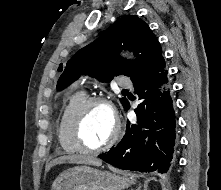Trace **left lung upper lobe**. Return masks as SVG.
<instances>
[{"label":"left lung upper lobe","mask_w":221,"mask_h":190,"mask_svg":"<svg viewBox=\"0 0 221 190\" xmlns=\"http://www.w3.org/2000/svg\"><path fill=\"white\" fill-rule=\"evenodd\" d=\"M133 51L136 62L119 56L120 50ZM162 57V49L149 26L140 18L127 15L107 28L93 43L80 49L68 62L57 88L63 89L79 78L89 75L101 82L126 75L131 81L145 75ZM125 108L126 98H120Z\"/></svg>","instance_id":"5c2ea615"}]
</instances>
